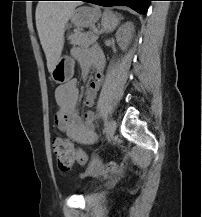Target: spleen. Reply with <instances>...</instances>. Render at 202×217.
<instances>
[{
	"label": "spleen",
	"mask_w": 202,
	"mask_h": 217,
	"mask_svg": "<svg viewBox=\"0 0 202 217\" xmlns=\"http://www.w3.org/2000/svg\"><path fill=\"white\" fill-rule=\"evenodd\" d=\"M104 31H113L118 24V19L111 11H105L101 20Z\"/></svg>",
	"instance_id": "spleen-1"
}]
</instances>
